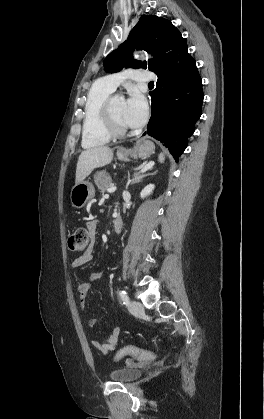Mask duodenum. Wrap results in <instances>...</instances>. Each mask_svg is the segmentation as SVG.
<instances>
[{"instance_id": "1", "label": "duodenum", "mask_w": 264, "mask_h": 419, "mask_svg": "<svg viewBox=\"0 0 264 419\" xmlns=\"http://www.w3.org/2000/svg\"><path fill=\"white\" fill-rule=\"evenodd\" d=\"M113 231L119 233L122 230V220L120 217H116L112 223Z\"/></svg>"}]
</instances>
